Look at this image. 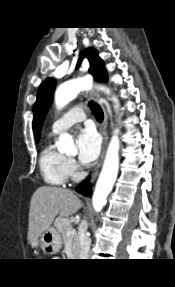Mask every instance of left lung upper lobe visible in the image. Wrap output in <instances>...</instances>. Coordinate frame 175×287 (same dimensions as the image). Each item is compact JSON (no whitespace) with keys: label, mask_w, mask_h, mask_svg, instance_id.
<instances>
[{"label":"left lung upper lobe","mask_w":175,"mask_h":287,"mask_svg":"<svg viewBox=\"0 0 175 287\" xmlns=\"http://www.w3.org/2000/svg\"><path fill=\"white\" fill-rule=\"evenodd\" d=\"M87 57L90 62L89 73L93 75L94 79L99 82H106L108 80L107 72L105 70L102 59L98 56V52L93 48H88L80 53V58L77 67L81 64L84 57ZM56 82L54 79H46L39 87L37 93V100L34 104V120L33 131L35 138L38 141L40 138V131L46 113L52 103L53 93L55 90Z\"/></svg>","instance_id":"1"}]
</instances>
